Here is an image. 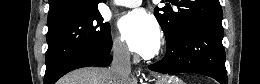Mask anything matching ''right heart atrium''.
Listing matches in <instances>:
<instances>
[{"label":"right heart atrium","instance_id":"1","mask_svg":"<svg viewBox=\"0 0 260 84\" xmlns=\"http://www.w3.org/2000/svg\"><path fill=\"white\" fill-rule=\"evenodd\" d=\"M112 53L115 58L127 61L130 58V51L119 35H114L111 42Z\"/></svg>","mask_w":260,"mask_h":84}]
</instances>
